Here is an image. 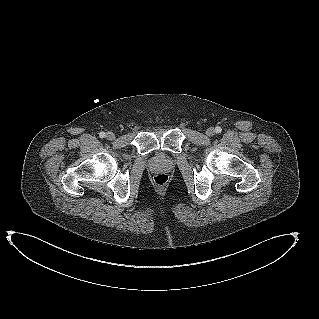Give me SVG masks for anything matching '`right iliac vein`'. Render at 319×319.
Masks as SVG:
<instances>
[{
    "mask_svg": "<svg viewBox=\"0 0 319 319\" xmlns=\"http://www.w3.org/2000/svg\"><path fill=\"white\" fill-rule=\"evenodd\" d=\"M105 137H106V139L111 141V140L115 139V134L113 132H107Z\"/></svg>",
    "mask_w": 319,
    "mask_h": 319,
    "instance_id": "right-iliac-vein-1",
    "label": "right iliac vein"
}]
</instances>
